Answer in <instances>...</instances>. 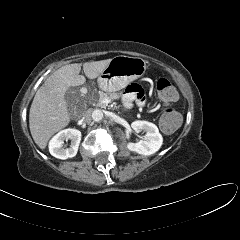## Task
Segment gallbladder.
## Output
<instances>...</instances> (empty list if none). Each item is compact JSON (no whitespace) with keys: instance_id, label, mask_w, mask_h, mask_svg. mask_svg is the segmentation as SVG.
<instances>
[{"instance_id":"1","label":"gallbladder","mask_w":240,"mask_h":240,"mask_svg":"<svg viewBox=\"0 0 240 240\" xmlns=\"http://www.w3.org/2000/svg\"><path fill=\"white\" fill-rule=\"evenodd\" d=\"M66 100L68 101L69 105H71V94L66 95Z\"/></svg>"}]
</instances>
